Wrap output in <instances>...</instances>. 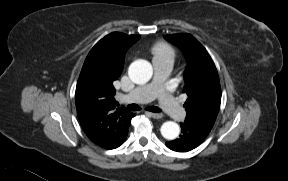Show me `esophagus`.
I'll return each mask as SVG.
<instances>
[{
  "instance_id": "esophagus-1",
  "label": "esophagus",
  "mask_w": 288,
  "mask_h": 181,
  "mask_svg": "<svg viewBox=\"0 0 288 181\" xmlns=\"http://www.w3.org/2000/svg\"><path fill=\"white\" fill-rule=\"evenodd\" d=\"M146 113L149 114L151 117H153L155 119L162 118V114H160V113H152V112H146Z\"/></svg>"
}]
</instances>
